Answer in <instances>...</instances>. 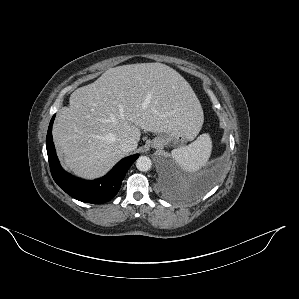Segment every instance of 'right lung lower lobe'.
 Returning <instances> with one entry per match:
<instances>
[{
  "label": "right lung lower lobe",
  "mask_w": 299,
  "mask_h": 299,
  "mask_svg": "<svg viewBox=\"0 0 299 299\" xmlns=\"http://www.w3.org/2000/svg\"><path fill=\"white\" fill-rule=\"evenodd\" d=\"M54 118L55 115L49 124L46 147L51 174L55 182L68 195L82 202L100 204L111 200L119 191L122 180L129 167L139 155L135 154L122 159L107 175L100 179L90 181L76 178L65 172L58 161L52 139Z\"/></svg>",
  "instance_id": "1"
}]
</instances>
